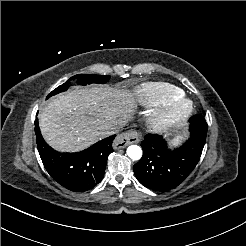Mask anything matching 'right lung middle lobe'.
<instances>
[{
  "label": "right lung middle lobe",
  "instance_id": "dd1d6c3e",
  "mask_svg": "<svg viewBox=\"0 0 246 246\" xmlns=\"http://www.w3.org/2000/svg\"><path fill=\"white\" fill-rule=\"evenodd\" d=\"M77 79V83L81 85L91 84V83H105L109 80L110 76L108 75H89V74H78L76 76L71 77L67 82L58 86L55 90H53L48 96L56 95L60 92L66 91L69 87L70 81L73 79Z\"/></svg>",
  "mask_w": 246,
  "mask_h": 246
}]
</instances>
